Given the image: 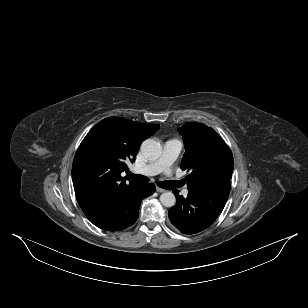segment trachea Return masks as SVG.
I'll return each instance as SVG.
<instances>
[{"instance_id": "3493384b", "label": "trachea", "mask_w": 308, "mask_h": 308, "mask_svg": "<svg viewBox=\"0 0 308 308\" xmlns=\"http://www.w3.org/2000/svg\"><path fill=\"white\" fill-rule=\"evenodd\" d=\"M128 178L133 180V181L139 182V183L149 182V179L146 176L140 175V174L129 173ZM157 185L160 188H163V189H174V188L179 187V182H176V181H158Z\"/></svg>"}]
</instances>
